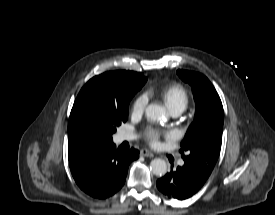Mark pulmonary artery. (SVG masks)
Instances as JSON below:
<instances>
[{"instance_id":"e3ab8cb5","label":"pulmonary artery","mask_w":275,"mask_h":215,"mask_svg":"<svg viewBox=\"0 0 275 215\" xmlns=\"http://www.w3.org/2000/svg\"><path fill=\"white\" fill-rule=\"evenodd\" d=\"M183 110L181 109H175V110H172L171 111V114L173 116H178ZM119 139L121 141H126V140H131V139H134V135L131 134V133H128V132H122L120 135H119ZM178 164L180 166H182L184 164V161L183 160H179L178 161Z\"/></svg>"}]
</instances>
